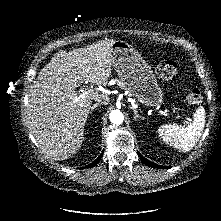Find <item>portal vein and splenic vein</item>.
Returning <instances> with one entry per match:
<instances>
[{
    "label": "portal vein and splenic vein",
    "instance_id": "obj_1",
    "mask_svg": "<svg viewBox=\"0 0 221 221\" xmlns=\"http://www.w3.org/2000/svg\"><path fill=\"white\" fill-rule=\"evenodd\" d=\"M93 92H94V90L93 89H89V90H81V94L79 95V96H77V97H75V99H74V101L75 102H81V101H83L86 97H88L89 95H92L93 94ZM165 116H167V117H171V115H170V113H168V112H162Z\"/></svg>",
    "mask_w": 221,
    "mask_h": 221
}]
</instances>
